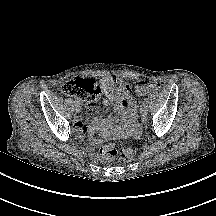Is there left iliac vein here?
Returning <instances> with one entry per match:
<instances>
[{
	"label": "left iliac vein",
	"mask_w": 216,
	"mask_h": 216,
	"mask_svg": "<svg viewBox=\"0 0 216 216\" xmlns=\"http://www.w3.org/2000/svg\"><path fill=\"white\" fill-rule=\"evenodd\" d=\"M147 108H148V106H147V104L145 103H143L142 105H141V108H140V113L141 114H146V112H147Z\"/></svg>",
	"instance_id": "left-iliac-vein-1"
}]
</instances>
